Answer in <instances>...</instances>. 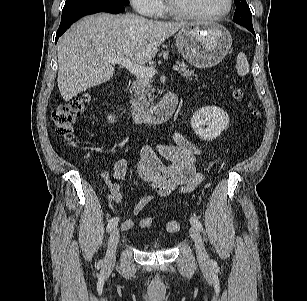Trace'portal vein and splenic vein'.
<instances>
[{
  "label": "portal vein and splenic vein",
  "instance_id": "portal-vein-and-splenic-vein-1",
  "mask_svg": "<svg viewBox=\"0 0 307 301\" xmlns=\"http://www.w3.org/2000/svg\"><path fill=\"white\" fill-rule=\"evenodd\" d=\"M110 63H118L125 67L132 74L140 77H153L157 71L154 67H146L139 65L126 57L108 58ZM173 70L178 71L179 66L173 65Z\"/></svg>",
  "mask_w": 307,
  "mask_h": 301
}]
</instances>
